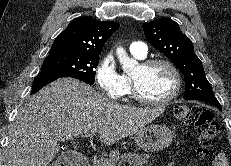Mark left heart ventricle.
I'll list each match as a JSON object with an SVG mask.
<instances>
[{"instance_id":"1","label":"left heart ventricle","mask_w":231,"mask_h":166,"mask_svg":"<svg viewBox=\"0 0 231 166\" xmlns=\"http://www.w3.org/2000/svg\"><path fill=\"white\" fill-rule=\"evenodd\" d=\"M132 76L137 82L141 95L148 99H163L174 87L173 75L163 65H154L146 69L138 66Z\"/></svg>"}]
</instances>
